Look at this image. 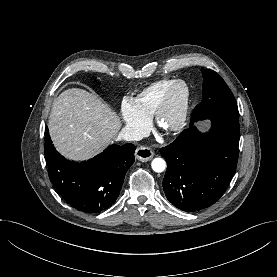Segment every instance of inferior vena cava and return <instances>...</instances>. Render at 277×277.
<instances>
[{
	"instance_id": "obj_1",
	"label": "inferior vena cava",
	"mask_w": 277,
	"mask_h": 277,
	"mask_svg": "<svg viewBox=\"0 0 277 277\" xmlns=\"http://www.w3.org/2000/svg\"><path fill=\"white\" fill-rule=\"evenodd\" d=\"M118 139L125 141H139L141 137L131 128H123L119 135Z\"/></svg>"
}]
</instances>
